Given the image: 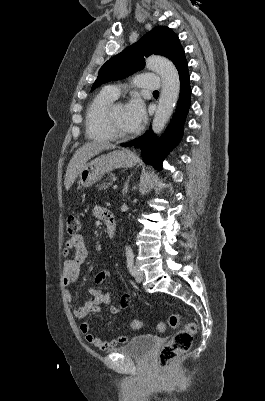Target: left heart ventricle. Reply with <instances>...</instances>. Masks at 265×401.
Segmentation results:
<instances>
[{
  "mask_svg": "<svg viewBox=\"0 0 265 401\" xmlns=\"http://www.w3.org/2000/svg\"><path fill=\"white\" fill-rule=\"evenodd\" d=\"M113 124L117 133L121 135H127L132 131L125 118V108L121 104L117 105L115 108Z\"/></svg>",
  "mask_w": 265,
  "mask_h": 401,
  "instance_id": "1",
  "label": "left heart ventricle"
}]
</instances>
